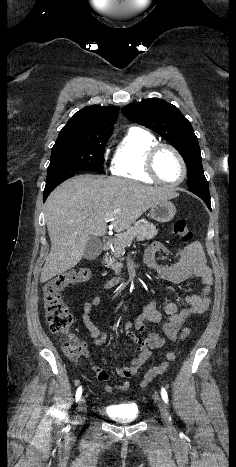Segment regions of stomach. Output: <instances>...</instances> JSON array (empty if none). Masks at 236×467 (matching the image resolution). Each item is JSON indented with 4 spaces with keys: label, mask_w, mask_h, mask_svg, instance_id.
Listing matches in <instances>:
<instances>
[{
    "label": "stomach",
    "mask_w": 236,
    "mask_h": 467,
    "mask_svg": "<svg viewBox=\"0 0 236 467\" xmlns=\"http://www.w3.org/2000/svg\"><path fill=\"white\" fill-rule=\"evenodd\" d=\"M175 214L176 207L168 200L157 202L151 206L150 210L151 217L160 223L170 222L174 218Z\"/></svg>",
    "instance_id": "obj_1"
}]
</instances>
